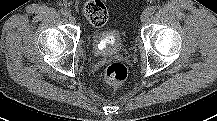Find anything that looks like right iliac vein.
Returning <instances> with one entry per match:
<instances>
[{"label":"right iliac vein","instance_id":"1","mask_svg":"<svg viewBox=\"0 0 217 121\" xmlns=\"http://www.w3.org/2000/svg\"><path fill=\"white\" fill-rule=\"evenodd\" d=\"M68 19H69V21H70L71 23H73V24L76 23V19H75L74 16L69 15Z\"/></svg>","mask_w":217,"mask_h":121}]
</instances>
